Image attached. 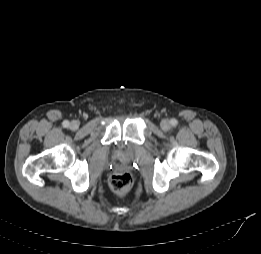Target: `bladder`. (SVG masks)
<instances>
[{"mask_svg":"<svg viewBox=\"0 0 261 254\" xmlns=\"http://www.w3.org/2000/svg\"><path fill=\"white\" fill-rule=\"evenodd\" d=\"M122 153H123L125 156H127V157L131 156V151H129V150H127V149L123 150Z\"/></svg>","mask_w":261,"mask_h":254,"instance_id":"31cf9c89","label":"bladder"}]
</instances>
